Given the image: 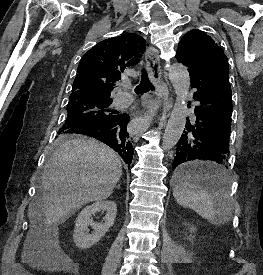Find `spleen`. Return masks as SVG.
<instances>
[{
  "instance_id": "obj_1",
  "label": "spleen",
  "mask_w": 263,
  "mask_h": 275,
  "mask_svg": "<svg viewBox=\"0 0 263 275\" xmlns=\"http://www.w3.org/2000/svg\"><path fill=\"white\" fill-rule=\"evenodd\" d=\"M196 166L220 173L224 178L219 189L212 195L194 182L180 181L173 189V196L179 205L193 209L211 224L224 225L230 220L233 212L228 173L223 167L211 162H199Z\"/></svg>"
}]
</instances>
